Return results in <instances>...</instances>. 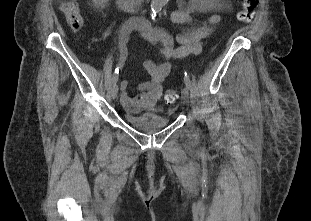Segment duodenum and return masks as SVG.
Listing matches in <instances>:
<instances>
[{"instance_id":"1","label":"duodenum","mask_w":311,"mask_h":221,"mask_svg":"<svg viewBox=\"0 0 311 221\" xmlns=\"http://www.w3.org/2000/svg\"><path fill=\"white\" fill-rule=\"evenodd\" d=\"M149 0H117L118 6L122 9L142 10L148 6ZM150 21H137L133 23L134 29L146 27ZM152 24V23H151Z\"/></svg>"}]
</instances>
